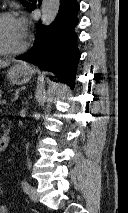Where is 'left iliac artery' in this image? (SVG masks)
Instances as JSON below:
<instances>
[{"label":"left iliac artery","mask_w":128,"mask_h":213,"mask_svg":"<svg viewBox=\"0 0 128 213\" xmlns=\"http://www.w3.org/2000/svg\"><path fill=\"white\" fill-rule=\"evenodd\" d=\"M21 185H22V189L25 193H28L29 192V189H30V185L27 181L25 180H22L21 181Z\"/></svg>","instance_id":"1"}]
</instances>
